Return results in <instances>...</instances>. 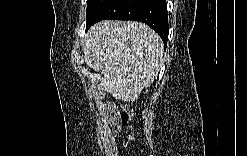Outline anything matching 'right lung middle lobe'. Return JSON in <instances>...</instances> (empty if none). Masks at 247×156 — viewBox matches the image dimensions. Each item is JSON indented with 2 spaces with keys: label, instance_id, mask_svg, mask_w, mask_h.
I'll list each match as a JSON object with an SVG mask.
<instances>
[{
  "label": "right lung middle lobe",
  "instance_id": "right-lung-middle-lobe-1",
  "mask_svg": "<svg viewBox=\"0 0 247 156\" xmlns=\"http://www.w3.org/2000/svg\"><path fill=\"white\" fill-rule=\"evenodd\" d=\"M110 0H87L86 28L94 21Z\"/></svg>",
  "mask_w": 247,
  "mask_h": 156
}]
</instances>
